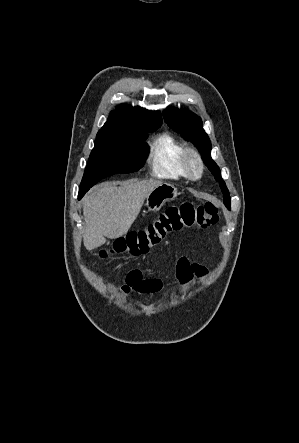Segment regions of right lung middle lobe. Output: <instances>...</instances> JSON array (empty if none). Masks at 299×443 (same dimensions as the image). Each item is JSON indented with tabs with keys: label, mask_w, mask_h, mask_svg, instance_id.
<instances>
[{
	"label": "right lung middle lobe",
	"mask_w": 299,
	"mask_h": 443,
	"mask_svg": "<svg viewBox=\"0 0 299 443\" xmlns=\"http://www.w3.org/2000/svg\"><path fill=\"white\" fill-rule=\"evenodd\" d=\"M159 127L160 125H151L139 131L97 137L79 188V195L83 196L103 178L139 170L149 153L147 144L142 141L147 138L148 132H153Z\"/></svg>",
	"instance_id": "1"
}]
</instances>
